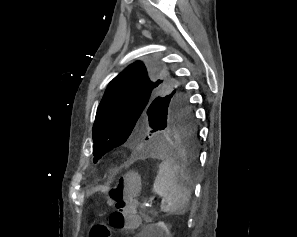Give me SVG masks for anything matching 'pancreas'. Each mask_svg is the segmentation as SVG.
Wrapping results in <instances>:
<instances>
[{
    "label": "pancreas",
    "instance_id": "cf45deb5",
    "mask_svg": "<svg viewBox=\"0 0 297 237\" xmlns=\"http://www.w3.org/2000/svg\"><path fill=\"white\" fill-rule=\"evenodd\" d=\"M151 214L156 215L157 212L156 211H151Z\"/></svg>",
    "mask_w": 297,
    "mask_h": 237
}]
</instances>
